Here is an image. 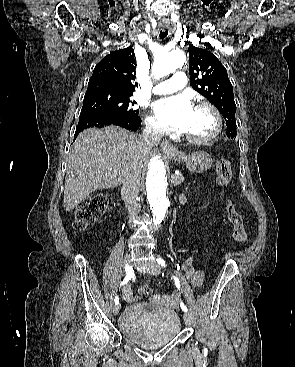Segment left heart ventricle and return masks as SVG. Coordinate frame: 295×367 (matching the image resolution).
<instances>
[{
  "label": "left heart ventricle",
  "mask_w": 295,
  "mask_h": 367,
  "mask_svg": "<svg viewBox=\"0 0 295 367\" xmlns=\"http://www.w3.org/2000/svg\"><path fill=\"white\" fill-rule=\"evenodd\" d=\"M215 128V121L212 114L203 108H194L190 120L184 133L193 137H206Z\"/></svg>",
  "instance_id": "b2bd125f"
}]
</instances>
